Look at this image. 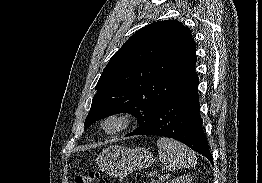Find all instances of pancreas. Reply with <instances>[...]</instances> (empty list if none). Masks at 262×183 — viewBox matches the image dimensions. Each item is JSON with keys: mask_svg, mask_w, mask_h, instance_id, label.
I'll return each instance as SVG.
<instances>
[{"mask_svg": "<svg viewBox=\"0 0 262 183\" xmlns=\"http://www.w3.org/2000/svg\"><path fill=\"white\" fill-rule=\"evenodd\" d=\"M165 178H166L165 176H162L161 179H159V181L158 180H152L151 183H160V181L165 180Z\"/></svg>", "mask_w": 262, "mask_h": 183, "instance_id": "pancreas-1", "label": "pancreas"}]
</instances>
